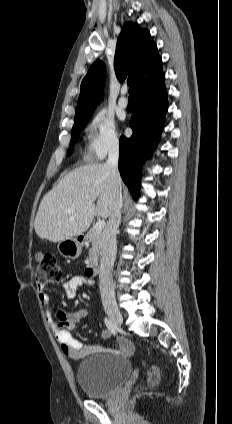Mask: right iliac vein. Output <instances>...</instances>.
Returning a JSON list of instances; mask_svg holds the SVG:
<instances>
[{
	"instance_id": "obj_1",
	"label": "right iliac vein",
	"mask_w": 232,
	"mask_h": 424,
	"mask_svg": "<svg viewBox=\"0 0 232 424\" xmlns=\"http://www.w3.org/2000/svg\"><path fill=\"white\" fill-rule=\"evenodd\" d=\"M104 309H105V312L107 313V315L109 316V318L111 319V321L116 326L122 325L123 317L121 315L119 308L115 304H112V303L105 304Z\"/></svg>"
}]
</instances>
